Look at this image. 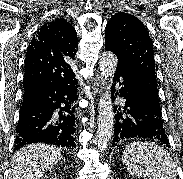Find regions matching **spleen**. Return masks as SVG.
Returning <instances> with one entry per match:
<instances>
[{"label":"spleen","instance_id":"spleen-1","mask_svg":"<svg viewBox=\"0 0 183 179\" xmlns=\"http://www.w3.org/2000/svg\"><path fill=\"white\" fill-rule=\"evenodd\" d=\"M123 163L134 176L147 179H177V171L170 154L150 141H137L126 146Z\"/></svg>","mask_w":183,"mask_h":179}]
</instances>
